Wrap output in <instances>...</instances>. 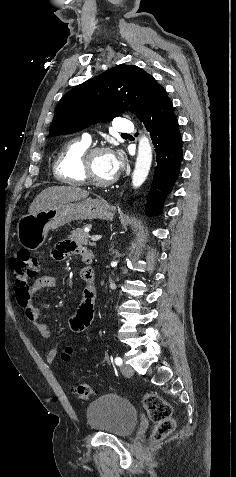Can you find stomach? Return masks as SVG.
Masks as SVG:
<instances>
[{
	"label": "stomach",
	"instance_id": "stomach-1",
	"mask_svg": "<svg viewBox=\"0 0 236 477\" xmlns=\"http://www.w3.org/2000/svg\"><path fill=\"white\" fill-rule=\"evenodd\" d=\"M114 215L115 207L103 199L88 198L68 202L21 217L17 223V236L24 248L36 251L44 244L51 229L74 220H112Z\"/></svg>",
	"mask_w": 236,
	"mask_h": 477
}]
</instances>
